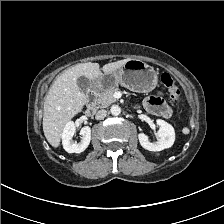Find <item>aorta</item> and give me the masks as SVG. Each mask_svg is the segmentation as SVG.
<instances>
[{"label":"aorta","instance_id":"1","mask_svg":"<svg viewBox=\"0 0 224 224\" xmlns=\"http://www.w3.org/2000/svg\"><path fill=\"white\" fill-rule=\"evenodd\" d=\"M110 112L114 116H118L121 113V109L118 105H113L110 109Z\"/></svg>","mask_w":224,"mask_h":224}]
</instances>
